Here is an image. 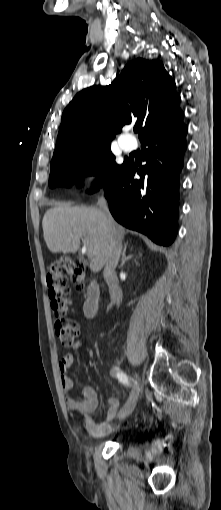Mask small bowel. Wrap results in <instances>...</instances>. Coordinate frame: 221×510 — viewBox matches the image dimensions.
I'll use <instances>...</instances> for the list:
<instances>
[{
	"label": "small bowel",
	"mask_w": 221,
	"mask_h": 510,
	"mask_svg": "<svg viewBox=\"0 0 221 510\" xmlns=\"http://www.w3.org/2000/svg\"><path fill=\"white\" fill-rule=\"evenodd\" d=\"M81 347V342L77 341L73 345V350L78 351ZM73 361L74 353L69 352L60 359L58 364L61 387L67 395L70 393L74 385L73 378L68 373ZM107 403L109 407L103 416L102 422L96 423L90 417V415L96 411L99 404L98 393L94 387H84L78 398H72L69 396L66 398L67 407L83 416L84 427L93 437H102L110 433L115 427V420L119 414L120 401L115 397H109Z\"/></svg>",
	"instance_id": "obj_1"
}]
</instances>
